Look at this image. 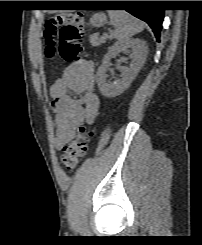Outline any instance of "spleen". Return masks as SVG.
Here are the masks:
<instances>
[{"instance_id": "spleen-1", "label": "spleen", "mask_w": 202, "mask_h": 245, "mask_svg": "<svg viewBox=\"0 0 202 245\" xmlns=\"http://www.w3.org/2000/svg\"><path fill=\"white\" fill-rule=\"evenodd\" d=\"M111 24L114 26V37L118 41L128 40L143 30V25L126 11H109Z\"/></svg>"}]
</instances>
